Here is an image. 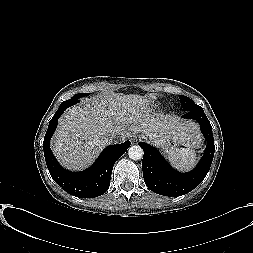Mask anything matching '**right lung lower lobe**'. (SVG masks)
I'll list each match as a JSON object with an SVG mask.
<instances>
[{"label":"right lung lower lobe","mask_w":253,"mask_h":253,"mask_svg":"<svg viewBox=\"0 0 253 253\" xmlns=\"http://www.w3.org/2000/svg\"><path fill=\"white\" fill-rule=\"evenodd\" d=\"M79 102L71 99L61 103L51 119L43 141V150L47 167L54 181L66 192L76 197L93 198L104 194L110 185L111 173L117 159L131 145L130 141L108 146L97 161L83 172H71L63 169L50 149V139L56 129L59 117L70 106Z\"/></svg>","instance_id":"98d812e1"}]
</instances>
